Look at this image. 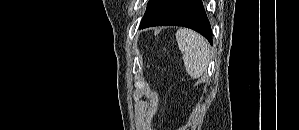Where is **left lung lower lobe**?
Segmentation results:
<instances>
[{
	"instance_id": "1",
	"label": "left lung lower lobe",
	"mask_w": 299,
	"mask_h": 130,
	"mask_svg": "<svg viewBox=\"0 0 299 130\" xmlns=\"http://www.w3.org/2000/svg\"><path fill=\"white\" fill-rule=\"evenodd\" d=\"M158 25L191 28L212 44V30L201 0H153L139 29Z\"/></svg>"
}]
</instances>
